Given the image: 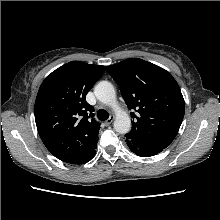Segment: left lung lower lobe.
<instances>
[{"instance_id": "left-lung-lower-lobe-1", "label": "left lung lower lobe", "mask_w": 220, "mask_h": 220, "mask_svg": "<svg viewBox=\"0 0 220 220\" xmlns=\"http://www.w3.org/2000/svg\"><path fill=\"white\" fill-rule=\"evenodd\" d=\"M126 142L132 152L141 157H149L158 154L163 149L146 147L142 145L133 144L127 137H125Z\"/></svg>"}]
</instances>
